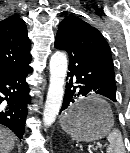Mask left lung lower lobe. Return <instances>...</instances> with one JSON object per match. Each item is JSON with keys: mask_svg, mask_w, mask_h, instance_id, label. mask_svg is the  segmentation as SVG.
<instances>
[{"mask_svg": "<svg viewBox=\"0 0 130 153\" xmlns=\"http://www.w3.org/2000/svg\"><path fill=\"white\" fill-rule=\"evenodd\" d=\"M55 48L67 51L70 60L61 111L69 107L76 97L89 94H99L116 102L115 78L102 63L63 37L56 36Z\"/></svg>", "mask_w": 130, "mask_h": 153, "instance_id": "left-lung-lower-lobe-1", "label": "left lung lower lobe"}]
</instances>
